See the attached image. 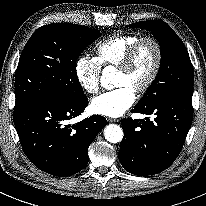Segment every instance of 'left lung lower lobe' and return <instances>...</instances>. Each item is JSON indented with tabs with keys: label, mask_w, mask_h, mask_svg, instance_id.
<instances>
[{
	"label": "left lung lower lobe",
	"mask_w": 206,
	"mask_h": 206,
	"mask_svg": "<svg viewBox=\"0 0 206 206\" xmlns=\"http://www.w3.org/2000/svg\"><path fill=\"white\" fill-rule=\"evenodd\" d=\"M192 111L190 95L173 96L146 107L135 106L132 113L152 114L155 118L121 121L124 137L119 160L125 170L135 175H153L168 168L183 148Z\"/></svg>",
	"instance_id": "obj_1"
}]
</instances>
